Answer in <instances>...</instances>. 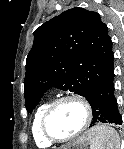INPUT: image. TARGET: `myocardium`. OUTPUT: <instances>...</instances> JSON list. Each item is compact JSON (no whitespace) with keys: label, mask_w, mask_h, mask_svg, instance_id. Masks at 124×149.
Listing matches in <instances>:
<instances>
[{"label":"myocardium","mask_w":124,"mask_h":149,"mask_svg":"<svg viewBox=\"0 0 124 149\" xmlns=\"http://www.w3.org/2000/svg\"><path fill=\"white\" fill-rule=\"evenodd\" d=\"M68 101L76 102L83 107L84 113H85L84 122H83L82 126L80 127V129L73 135L66 137V138H56L48 130V120H49L51 114L53 113V111L59 105H61L64 102H68ZM92 118H93L92 107L86 99H84L83 97H80L78 95L63 96V97L56 99L52 103H50V105L46 109V111L42 117V121H41V131H42L43 136L51 143H57V144L66 143V142L72 141V140L76 139L77 137H79L80 135H82L89 128V126L92 122Z\"/></svg>","instance_id":"myocardium-1"}]
</instances>
